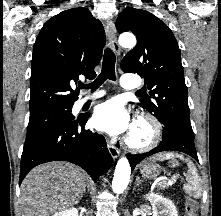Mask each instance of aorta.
Instances as JSON below:
<instances>
[{"label": "aorta", "instance_id": "1", "mask_svg": "<svg viewBox=\"0 0 221 216\" xmlns=\"http://www.w3.org/2000/svg\"><path fill=\"white\" fill-rule=\"evenodd\" d=\"M119 44L124 48H133L136 38L130 33L120 35ZM130 164L127 158L122 157L118 160L112 181V190L116 194L122 193L128 186L130 180Z\"/></svg>", "mask_w": 221, "mask_h": 216}]
</instances>
